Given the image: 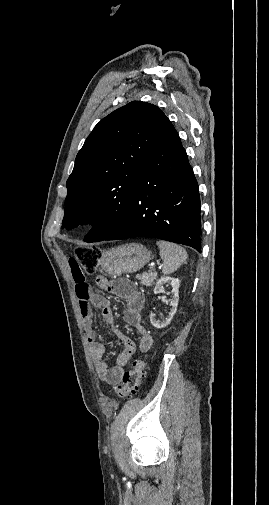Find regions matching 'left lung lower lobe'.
Instances as JSON below:
<instances>
[{
    "mask_svg": "<svg viewBox=\"0 0 269 505\" xmlns=\"http://www.w3.org/2000/svg\"><path fill=\"white\" fill-rule=\"evenodd\" d=\"M200 213L193 169L177 131L165 117L132 192L128 215L102 240L150 237L201 252Z\"/></svg>",
    "mask_w": 269,
    "mask_h": 505,
    "instance_id": "1",
    "label": "left lung lower lobe"
}]
</instances>
